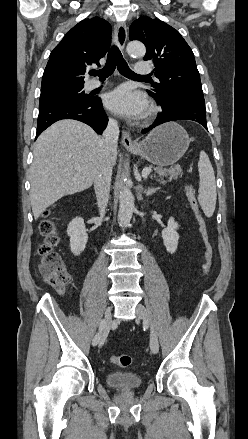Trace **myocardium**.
<instances>
[{"mask_svg":"<svg viewBox=\"0 0 248 439\" xmlns=\"http://www.w3.org/2000/svg\"><path fill=\"white\" fill-rule=\"evenodd\" d=\"M156 108L155 107H150V109L148 110V113H147V119H151V118H153L154 117V115L156 114Z\"/></svg>","mask_w":248,"mask_h":439,"instance_id":"myocardium-1","label":"myocardium"}]
</instances>
